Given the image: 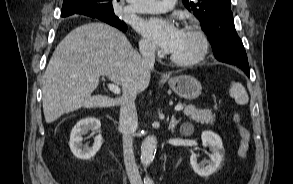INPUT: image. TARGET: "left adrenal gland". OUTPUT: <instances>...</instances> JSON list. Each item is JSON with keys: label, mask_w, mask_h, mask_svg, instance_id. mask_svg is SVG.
Here are the masks:
<instances>
[{"label": "left adrenal gland", "mask_w": 293, "mask_h": 184, "mask_svg": "<svg viewBox=\"0 0 293 184\" xmlns=\"http://www.w3.org/2000/svg\"><path fill=\"white\" fill-rule=\"evenodd\" d=\"M180 121H181V118L178 119V120H176V119H175V116L172 115V117H171V121H170V123H169V129L172 130V131H174L175 127L177 126V124H178Z\"/></svg>", "instance_id": "1"}]
</instances>
